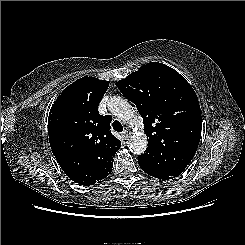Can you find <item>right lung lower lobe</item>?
Masks as SVG:
<instances>
[{"label": "right lung lower lobe", "instance_id": "1", "mask_svg": "<svg viewBox=\"0 0 245 245\" xmlns=\"http://www.w3.org/2000/svg\"><path fill=\"white\" fill-rule=\"evenodd\" d=\"M104 160V162L99 163V169H101L102 173V179L108 176L112 172V167H113V156L108 158V159H101ZM65 174L75 181L76 183H79V177L76 174V171L73 168L70 167H61Z\"/></svg>", "mask_w": 245, "mask_h": 245}]
</instances>
